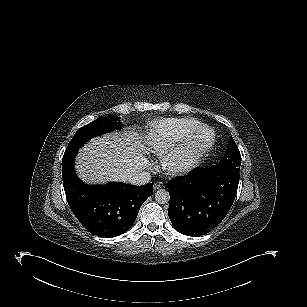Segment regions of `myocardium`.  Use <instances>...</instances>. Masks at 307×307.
<instances>
[{
  "instance_id": "myocardium-1",
  "label": "myocardium",
  "mask_w": 307,
  "mask_h": 307,
  "mask_svg": "<svg viewBox=\"0 0 307 307\" xmlns=\"http://www.w3.org/2000/svg\"><path fill=\"white\" fill-rule=\"evenodd\" d=\"M204 130H207L210 133V138L206 143L200 141V135ZM213 137L214 134L210 127L200 126L191 138L187 139L184 143L176 148V151L173 155L168 158H163L160 161V167L167 174L171 175H179L190 171L201 162L203 154L209 148V143H211ZM188 147L192 148L191 156L187 159L178 158L180 152Z\"/></svg>"
}]
</instances>
